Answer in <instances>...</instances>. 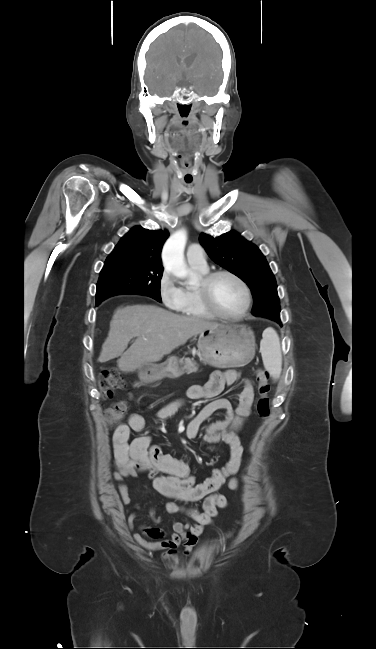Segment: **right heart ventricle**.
Masks as SVG:
<instances>
[{
  "mask_svg": "<svg viewBox=\"0 0 376 649\" xmlns=\"http://www.w3.org/2000/svg\"><path fill=\"white\" fill-rule=\"evenodd\" d=\"M192 269L197 272L199 276H203L208 272L207 267L192 266ZM182 302L177 309L185 316L201 319H213L214 315L209 313L203 306L197 286L186 285L182 288Z\"/></svg>",
  "mask_w": 376,
  "mask_h": 649,
  "instance_id": "e07e8e85",
  "label": "right heart ventricle"
}]
</instances>
